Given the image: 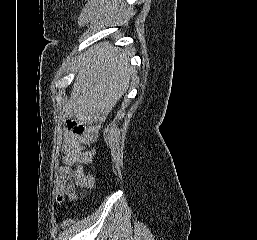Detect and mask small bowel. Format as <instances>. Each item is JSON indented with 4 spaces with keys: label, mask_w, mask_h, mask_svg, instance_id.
<instances>
[{
    "label": "small bowel",
    "mask_w": 257,
    "mask_h": 240,
    "mask_svg": "<svg viewBox=\"0 0 257 240\" xmlns=\"http://www.w3.org/2000/svg\"><path fill=\"white\" fill-rule=\"evenodd\" d=\"M93 128L86 129L82 134L66 132L62 150L64 165L58 169L56 185L61 194H71L77 184L85 179L82 164L89 162L96 155V150H86V146L95 141ZM75 166V168H72Z\"/></svg>",
    "instance_id": "obj_1"
}]
</instances>
